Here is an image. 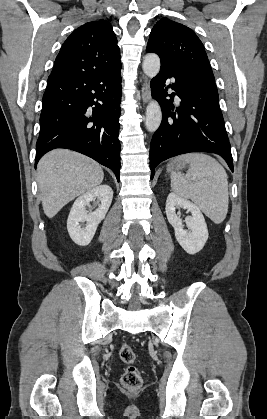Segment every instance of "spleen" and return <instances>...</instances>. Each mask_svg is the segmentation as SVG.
<instances>
[{
    "label": "spleen",
    "instance_id": "1",
    "mask_svg": "<svg viewBox=\"0 0 267 419\" xmlns=\"http://www.w3.org/2000/svg\"><path fill=\"white\" fill-rule=\"evenodd\" d=\"M174 164H190L186 174L171 173V188L178 196L191 199L215 224L222 223L229 204L228 177L223 166L204 153H189Z\"/></svg>",
    "mask_w": 267,
    "mask_h": 419
}]
</instances>
